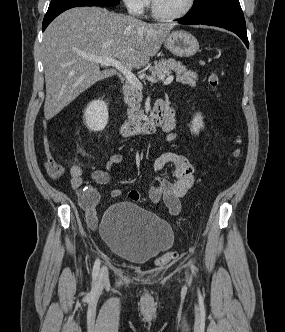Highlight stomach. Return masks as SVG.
I'll return each instance as SVG.
<instances>
[{
    "mask_svg": "<svg viewBox=\"0 0 285 332\" xmlns=\"http://www.w3.org/2000/svg\"><path fill=\"white\" fill-rule=\"evenodd\" d=\"M164 45L177 57H191L199 50L197 39L185 31L172 32L164 40Z\"/></svg>",
    "mask_w": 285,
    "mask_h": 332,
    "instance_id": "1",
    "label": "stomach"
}]
</instances>
